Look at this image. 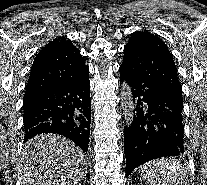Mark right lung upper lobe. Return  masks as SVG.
Returning a JSON list of instances; mask_svg holds the SVG:
<instances>
[{
	"label": "right lung upper lobe",
	"mask_w": 207,
	"mask_h": 185,
	"mask_svg": "<svg viewBox=\"0 0 207 185\" xmlns=\"http://www.w3.org/2000/svg\"><path fill=\"white\" fill-rule=\"evenodd\" d=\"M89 71L80 51L69 39L59 37L37 54L31 69L24 100L75 80Z\"/></svg>",
	"instance_id": "right-lung-upper-lobe-1"
}]
</instances>
